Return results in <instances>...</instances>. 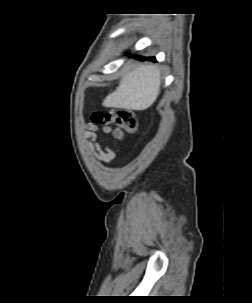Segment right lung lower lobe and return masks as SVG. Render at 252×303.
I'll return each instance as SVG.
<instances>
[{
	"label": "right lung lower lobe",
	"instance_id": "obj_1",
	"mask_svg": "<svg viewBox=\"0 0 252 303\" xmlns=\"http://www.w3.org/2000/svg\"><path fill=\"white\" fill-rule=\"evenodd\" d=\"M135 58H138V57L135 56ZM140 60H153V61H155V58H140Z\"/></svg>",
	"mask_w": 252,
	"mask_h": 303
}]
</instances>
